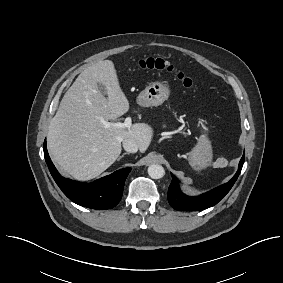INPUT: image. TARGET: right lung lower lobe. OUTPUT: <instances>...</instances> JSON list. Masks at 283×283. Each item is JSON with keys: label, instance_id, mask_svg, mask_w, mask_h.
I'll use <instances>...</instances> for the list:
<instances>
[{"label": "right lung lower lobe", "instance_id": "obj_1", "mask_svg": "<svg viewBox=\"0 0 283 283\" xmlns=\"http://www.w3.org/2000/svg\"><path fill=\"white\" fill-rule=\"evenodd\" d=\"M44 157L50 173L62 192L78 205L94 209H111L121 200L123 187L131 168H124L96 180L80 183L62 177L53 165L44 142Z\"/></svg>", "mask_w": 283, "mask_h": 283}]
</instances>
